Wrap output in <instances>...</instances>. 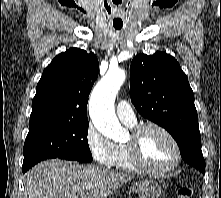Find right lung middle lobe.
I'll return each mask as SVG.
<instances>
[{"label": "right lung middle lobe", "mask_w": 221, "mask_h": 198, "mask_svg": "<svg viewBox=\"0 0 221 198\" xmlns=\"http://www.w3.org/2000/svg\"><path fill=\"white\" fill-rule=\"evenodd\" d=\"M88 120H40L29 124V132L23 149L22 169L40 161L66 157L81 162L92 161L89 149Z\"/></svg>", "instance_id": "dd1d6c3e"}]
</instances>
